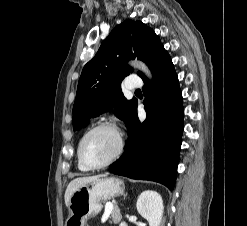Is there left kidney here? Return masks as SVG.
<instances>
[{"label": "left kidney", "mask_w": 247, "mask_h": 226, "mask_svg": "<svg viewBox=\"0 0 247 226\" xmlns=\"http://www.w3.org/2000/svg\"><path fill=\"white\" fill-rule=\"evenodd\" d=\"M138 213L145 218L150 226H159L162 220L164 206L163 200L156 191L142 192L136 203Z\"/></svg>", "instance_id": "left-kidney-1"}]
</instances>
